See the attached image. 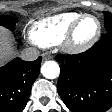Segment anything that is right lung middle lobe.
Segmentation results:
<instances>
[{
	"label": "right lung middle lobe",
	"mask_w": 112,
	"mask_h": 112,
	"mask_svg": "<svg viewBox=\"0 0 112 112\" xmlns=\"http://www.w3.org/2000/svg\"><path fill=\"white\" fill-rule=\"evenodd\" d=\"M16 23L17 19L12 16H0V25L6 27L11 31L15 30Z\"/></svg>",
	"instance_id": "1"
}]
</instances>
